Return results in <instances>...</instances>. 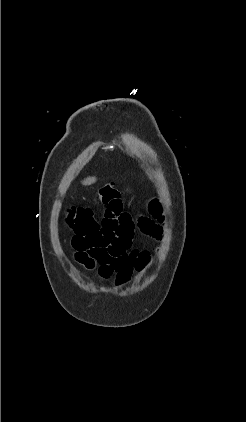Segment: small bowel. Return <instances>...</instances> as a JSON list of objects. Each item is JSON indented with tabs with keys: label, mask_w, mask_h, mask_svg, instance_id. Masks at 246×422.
Instances as JSON below:
<instances>
[{
	"label": "small bowel",
	"mask_w": 246,
	"mask_h": 422,
	"mask_svg": "<svg viewBox=\"0 0 246 422\" xmlns=\"http://www.w3.org/2000/svg\"><path fill=\"white\" fill-rule=\"evenodd\" d=\"M154 219L161 220V207L157 202L150 205ZM145 234L159 237L161 227L153 219L143 217L135 223L132 216L118 208L107 207L100 225L72 239L74 259L87 269L97 268L103 279L113 278L117 286L126 285L135 272L139 250L132 247L135 226Z\"/></svg>",
	"instance_id": "1"
}]
</instances>
